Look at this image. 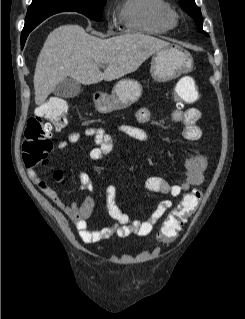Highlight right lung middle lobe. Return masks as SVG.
Returning <instances> with one entry per match:
<instances>
[{
	"mask_svg": "<svg viewBox=\"0 0 245 319\" xmlns=\"http://www.w3.org/2000/svg\"><path fill=\"white\" fill-rule=\"evenodd\" d=\"M105 2L106 0H66L62 6L67 8L65 11L79 12L92 20L98 21L102 17Z\"/></svg>",
	"mask_w": 245,
	"mask_h": 319,
	"instance_id": "dd1d6c3e",
	"label": "right lung middle lobe"
}]
</instances>
